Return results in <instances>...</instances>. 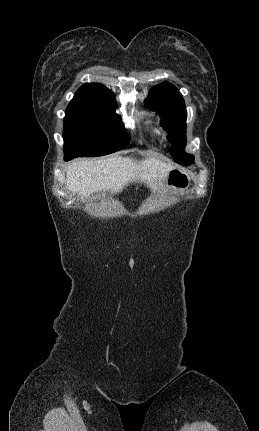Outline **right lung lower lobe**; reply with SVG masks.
<instances>
[{
  "mask_svg": "<svg viewBox=\"0 0 259 431\" xmlns=\"http://www.w3.org/2000/svg\"><path fill=\"white\" fill-rule=\"evenodd\" d=\"M71 158H69V157H67V156H65V160H70Z\"/></svg>",
  "mask_w": 259,
  "mask_h": 431,
  "instance_id": "right-lung-lower-lobe-1",
  "label": "right lung lower lobe"
}]
</instances>
